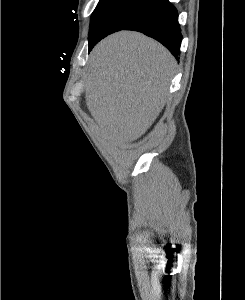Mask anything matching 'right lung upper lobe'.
Listing matches in <instances>:
<instances>
[{
  "mask_svg": "<svg viewBox=\"0 0 245 300\" xmlns=\"http://www.w3.org/2000/svg\"><path fill=\"white\" fill-rule=\"evenodd\" d=\"M141 1H158L160 3H164V2H166L168 0H141Z\"/></svg>",
  "mask_w": 245,
  "mask_h": 300,
  "instance_id": "cb5924a9",
  "label": "right lung upper lobe"
}]
</instances>
